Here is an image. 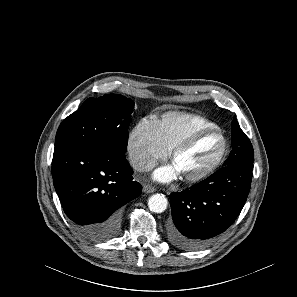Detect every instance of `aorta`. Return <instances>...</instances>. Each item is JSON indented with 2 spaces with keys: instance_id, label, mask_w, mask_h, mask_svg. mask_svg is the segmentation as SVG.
Masks as SVG:
<instances>
[{
  "instance_id": "obj_1",
  "label": "aorta",
  "mask_w": 297,
  "mask_h": 297,
  "mask_svg": "<svg viewBox=\"0 0 297 297\" xmlns=\"http://www.w3.org/2000/svg\"><path fill=\"white\" fill-rule=\"evenodd\" d=\"M168 201L164 195L154 194L148 200V207L150 211L155 213H162L166 210Z\"/></svg>"
}]
</instances>
